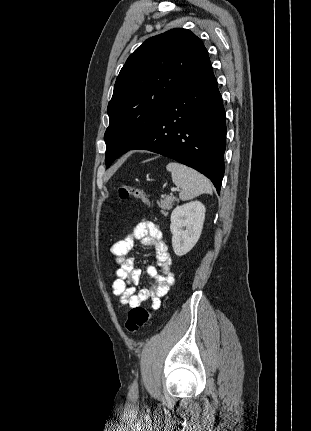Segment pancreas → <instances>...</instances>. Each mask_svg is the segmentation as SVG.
I'll return each mask as SVG.
<instances>
[{
  "instance_id": "1",
  "label": "pancreas",
  "mask_w": 311,
  "mask_h": 431,
  "mask_svg": "<svg viewBox=\"0 0 311 431\" xmlns=\"http://www.w3.org/2000/svg\"><path fill=\"white\" fill-rule=\"evenodd\" d=\"M180 202L178 198H175V196H166V198H163V200H160V202H157L159 208H161V214H164V216H168V210H171L172 206H175Z\"/></svg>"
}]
</instances>
